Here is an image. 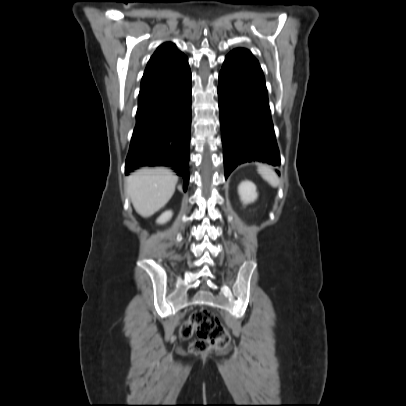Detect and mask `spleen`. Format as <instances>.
Masks as SVG:
<instances>
[{"mask_svg":"<svg viewBox=\"0 0 406 406\" xmlns=\"http://www.w3.org/2000/svg\"><path fill=\"white\" fill-rule=\"evenodd\" d=\"M258 172L271 186H278V176L271 167L261 165L258 168Z\"/></svg>","mask_w":406,"mask_h":406,"instance_id":"3e777b00","label":"spleen"}]
</instances>
